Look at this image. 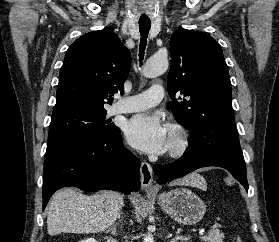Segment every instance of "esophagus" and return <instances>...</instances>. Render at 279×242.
<instances>
[{"label": "esophagus", "mask_w": 279, "mask_h": 242, "mask_svg": "<svg viewBox=\"0 0 279 242\" xmlns=\"http://www.w3.org/2000/svg\"><path fill=\"white\" fill-rule=\"evenodd\" d=\"M141 174V189L145 192L155 191L153 185V170L149 163L142 162L140 167Z\"/></svg>", "instance_id": "34e87169"}]
</instances>
